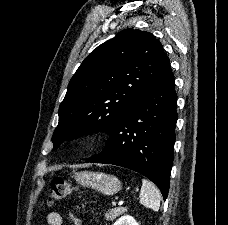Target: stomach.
<instances>
[{
    "mask_svg": "<svg viewBox=\"0 0 228 225\" xmlns=\"http://www.w3.org/2000/svg\"><path fill=\"white\" fill-rule=\"evenodd\" d=\"M75 181L82 187H90L94 191H99L103 195H116L122 189V185L113 175H105V173H90V171H81L75 173Z\"/></svg>",
    "mask_w": 228,
    "mask_h": 225,
    "instance_id": "stomach-1",
    "label": "stomach"
}]
</instances>
